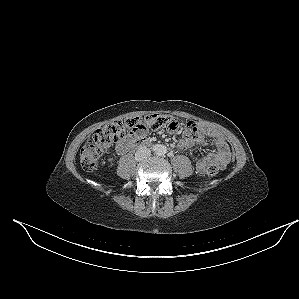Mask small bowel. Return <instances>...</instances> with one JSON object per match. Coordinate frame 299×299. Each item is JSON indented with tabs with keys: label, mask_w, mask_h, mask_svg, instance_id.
Here are the masks:
<instances>
[{
	"label": "small bowel",
	"mask_w": 299,
	"mask_h": 299,
	"mask_svg": "<svg viewBox=\"0 0 299 299\" xmlns=\"http://www.w3.org/2000/svg\"><path fill=\"white\" fill-rule=\"evenodd\" d=\"M201 132H205L209 137L213 138L216 145V151L208 153L204 157L198 158L195 161L196 169L199 172H205L206 168L210 165H215L219 169H223L229 163L231 159V151L226 140L215 130H205L200 128ZM201 132H198L194 138L184 137L178 143V148L184 151H188L197 144H204V137ZM143 133L133 134L126 139L119 142L116 146L118 153L126 152L132 145V143L141 137Z\"/></svg>",
	"instance_id": "c3829d8e"
}]
</instances>
